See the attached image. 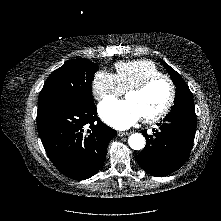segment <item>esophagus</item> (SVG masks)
Returning <instances> with one entry per match:
<instances>
[{
  "label": "esophagus",
  "mask_w": 221,
  "mask_h": 221,
  "mask_svg": "<svg viewBox=\"0 0 221 221\" xmlns=\"http://www.w3.org/2000/svg\"><path fill=\"white\" fill-rule=\"evenodd\" d=\"M129 134H130L129 132H125V131H119V132H118V136H119V137L127 136V135H129Z\"/></svg>",
  "instance_id": "esophagus-1"
}]
</instances>
